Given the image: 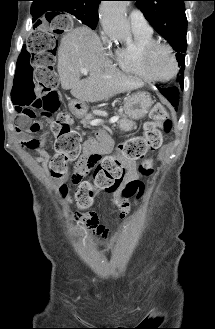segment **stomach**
Segmentation results:
<instances>
[{
  "label": "stomach",
  "mask_w": 215,
  "mask_h": 329,
  "mask_svg": "<svg viewBox=\"0 0 215 329\" xmlns=\"http://www.w3.org/2000/svg\"><path fill=\"white\" fill-rule=\"evenodd\" d=\"M153 102L150 94L147 92H137L129 96L124 104L126 116L131 120H139L146 116ZM70 111L78 116L87 113V106L79 100H72L69 102Z\"/></svg>",
  "instance_id": "0dacf381"
}]
</instances>
